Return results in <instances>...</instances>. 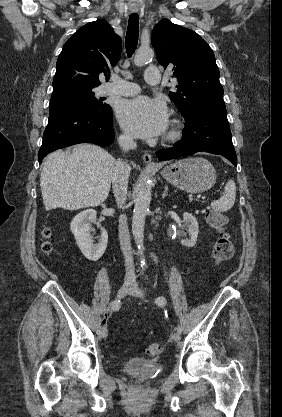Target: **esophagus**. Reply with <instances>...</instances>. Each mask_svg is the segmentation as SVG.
I'll use <instances>...</instances> for the list:
<instances>
[{"label":"esophagus","instance_id":"obj_1","mask_svg":"<svg viewBox=\"0 0 282 417\" xmlns=\"http://www.w3.org/2000/svg\"><path fill=\"white\" fill-rule=\"evenodd\" d=\"M143 160L150 167H157L158 166L155 162H153L152 157L149 153H145L143 155Z\"/></svg>","mask_w":282,"mask_h":417}]
</instances>
